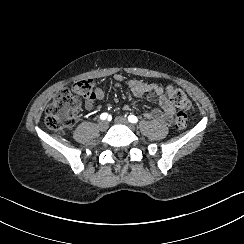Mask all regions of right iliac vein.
Segmentation results:
<instances>
[{"mask_svg":"<svg viewBox=\"0 0 244 244\" xmlns=\"http://www.w3.org/2000/svg\"><path fill=\"white\" fill-rule=\"evenodd\" d=\"M100 130L106 131L108 129L109 123L107 121H100L98 124Z\"/></svg>","mask_w":244,"mask_h":244,"instance_id":"obj_1","label":"right iliac vein"}]
</instances>
